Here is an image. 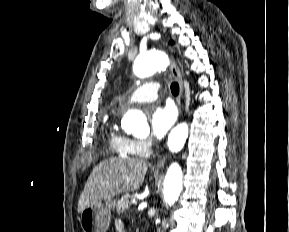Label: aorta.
Masks as SVG:
<instances>
[{"label":"aorta","instance_id":"aorta-1","mask_svg":"<svg viewBox=\"0 0 289 232\" xmlns=\"http://www.w3.org/2000/svg\"><path fill=\"white\" fill-rule=\"evenodd\" d=\"M168 58L165 52L152 50L139 55L134 61V73L139 78H145L156 72L166 70ZM121 126L127 133L135 136L149 133V125L145 115L138 110H129L123 117ZM188 126L185 123L177 125L168 137V148L171 152L180 151L188 137ZM182 191V171L177 163H173L167 170L164 180L163 197L166 205H173Z\"/></svg>","mask_w":289,"mask_h":232}]
</instances>
